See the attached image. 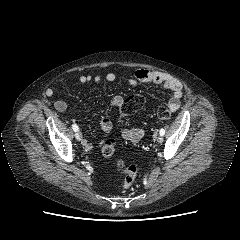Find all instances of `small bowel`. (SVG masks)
Listing matches in <instances>:
<instances>
[{
	"label": "small bowel",
	"mask_w": 240,
	"mask_h": 240,
	"mask_svg": "<svg viewBox=\"0 0 240 240\" xmlns=\"http://www.w3.org/2000/svg\"><path fill=\"white\" fill-rule=\"evenodd\" d=\"M116 79V74L114 72H108L105 75L102 74H83L78 77L80 83H89L95 82L100 83L103 80L112 82ZM127 81L131 86H136L141 83L147 84H157L163 86L165 89L171 92V98L167 103V107L171 112H175L180 107V99L183 95L182 85L179 80L175 77L162 73L159 71H153L148 69H138L134 73L127 76ZM64 82V79L61 78L59 83ZM53 90L50 88L47 90V94L51 95ZM124 104V98L120 95L113 96L110 99V106L112 108L120 109ZM54 107L59 112H65L68 110V105L65 101L57 100L54 103ZM99 128L104 135H109L112 130V122L109 118H102L99 122ZM145 131L143 128L134 127L127 128L122 131V138L131 141L137 142L139 141ZM83 146L87 151L93 149V145L87 141L83 142Z\"/></svg>",
	"instance_id": "small-bowel-1"
}]
</instances>
